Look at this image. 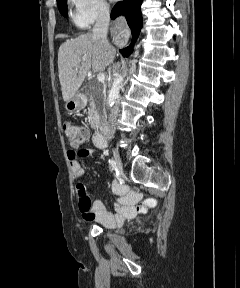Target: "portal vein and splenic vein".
<instances>
[{"label": "portal vein and splenic vein", "instance_id": "1", "mask_svg": "<svg viewBox=\"0 0 240 288\" xmlns=\"http://www.w3.org/2000/svg\"><path fill=\"white\" fill-rule=\"evenodd\" d=\"M97 80H98L99 82L103 83V82L105 81V75H104V73H99V74L97 75Z\"/></svg>", "mask_w": 240, "mask_h": 288}]
</instances>
